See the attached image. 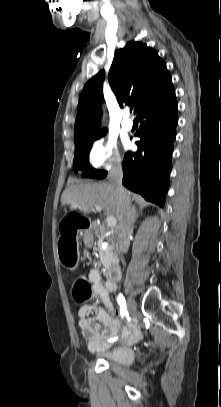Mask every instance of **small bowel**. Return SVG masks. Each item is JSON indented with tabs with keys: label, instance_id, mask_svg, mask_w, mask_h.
Returning <instances> with one entry per match:
<instances>
[{
	"label": "small bowel",
	"instance_id": "c3829d8e",
	"mask_svg": "<svg viewBox=\"0 0 221 407\" xmlns=\"http://www.w3.org/2000/svg\"><path fill=\"white\" fill-rule=\"evenodd\" d=\"M88 279L91 283L89 297L100 299L107 311L97 306L82 305L77 311L79 326L82 336L87 341V349L91 352L104 351L111 347V340L121 330L119 320L117 319L118 310L110 298V294L116 291L117 284L110 280L103 281L100 270L97 267L90 270ZM91 312L96 314L98 321L88 318ZM140 338L141 334L136 329L134 322L128 323L123 328L121 342L134 344Z\"/></svg>",
	"mask_w": 221,
	"mask_h": 407
}]
</instances>
